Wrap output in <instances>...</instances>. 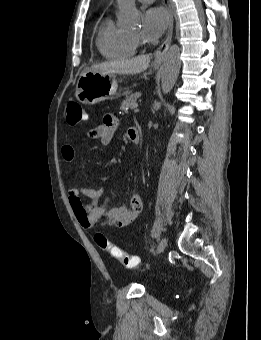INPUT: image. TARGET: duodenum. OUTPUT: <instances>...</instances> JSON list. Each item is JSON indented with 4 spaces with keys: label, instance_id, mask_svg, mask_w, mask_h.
<instances>
[{
    "label": "duodenum",
    "instance_id": "410a0bca",
    "mask_svg": "<svg viewBox=\"0 0 261 340\" xmlns=\"http://www.w3.org/2000/svg\"><path fill=\"white\" fill-rule=\"evenodd\" d=\"M129 131H130V138H131L132 142L135 143V144L138 143L140 136H139V132H138L137 128L131 127Z\"/></svg>",
    "mask_w": 261,
    "mask_h": 340
}]
</instances>
